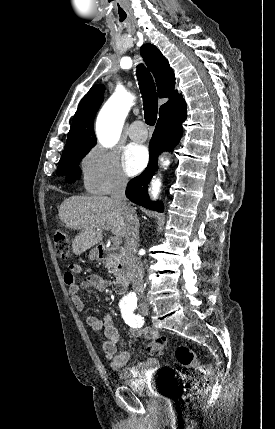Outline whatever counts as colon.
<instances>
[{"label":"colon","instance_id":"5ec220e1","mask_svg":"<svg viewBox=\"0 0 275 429\" xmlns=\"http://www.w3.org/2000/svg\"><path fill=\"white\" fill-rule=\"evenodd\" d=\"M54 249L62 259H67L70 255L68 240L61 232L54 235ZM165 345L166 339L163 337L157 342L156 351L162 352ZM175 357L180 366L191 373L181 376L182 383L180 386L183 394L180 400L184 405L193 404L202 399L210 389L213 379L212 368L201 362L196 353L185 345L176 348ZM199 375L203 376L202 381Z\"/></svg>","mask_w":275,"mask_h":429}]
</instances>
